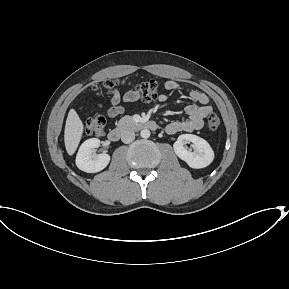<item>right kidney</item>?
<instances>
[{
  "label": "right kidney",
  "instance_id": "ca27d5eb",
  "mask_svg": "<svg viewBox=\"0 0 289 289\" xmlns=\"http://www.w3.org/2000/svg\"><path fill=\"white\" fill-rule=\"evenodd\" d=\"M100 146V140L91 138L82 143L76 156V166L87 173H96L103 170L110 162L106 153L95 154V149Z\"/></svg>",
  "mask_w": 289,
  "mask_h": 289
}]
</instances>
